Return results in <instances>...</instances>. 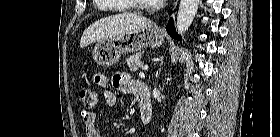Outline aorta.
I'll list each match as a JSON object with an SVG mask.
<instances>
[{"instance_id":"aorta-1","label":"aorta","mask_w":280,"mask_h":137,"mask_svg":"<svg viewBox=\"0 0 280 137\" xmlns=\"http://www.w3.org/2000/svg\"><path fill=\"white\" fill-rule=\"evenodd\" d=\"M199 0H181L178 14L176 29L180 35H184L189 29L198 9Z\"/></svg>"}]
</instances>
